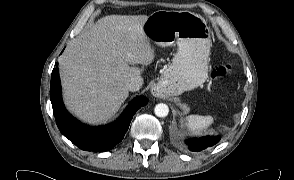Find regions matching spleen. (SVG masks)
Returning <instances> with one entry per match:
<instances>
[{"instance_id": "1", "label": "spleen", "mask_w": 294, "mask_h": 180, "mask_svg": "<svg viewBox=\"0 0 294 180\" xmlns=\"http://www.w3.org/2000/svg\"><path fill=\"white\" fill-rule=\"evenodd\" d=\"M185 126L188 131L198 134L206 130L214 122V117L201 116V115H190L185 118Z\"/></svg>"}]
</instances>
